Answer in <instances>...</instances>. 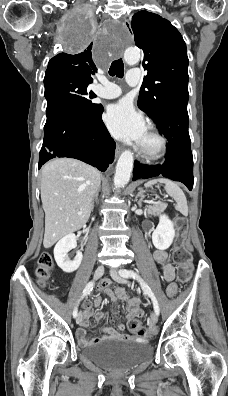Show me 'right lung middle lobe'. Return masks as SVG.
Instances as JSON below:
<instances>
[{
    "mask_svg": "<svg viewBox=\"0 0 228 396\" xmlns=\"http://www.w3.org/2000/svg\"><path fill=\"white\" fill-rule=\"evenodd\" d=\"M78 28L79 33L71 38V42L75 47L81 48L90 41L94 29L91 25L84 24ZM89 84L90 82L71 76L44 78L47 121L66 114L92 116L100 105L91 101L96 95L87 89Z\"/></svg>",
    "mask_w": 228,
    "mask_h": 396,
    "instance_id": "right-lung-middle-lobe-1",
    "label": "right lung middle lobe"
}]
</instances>
